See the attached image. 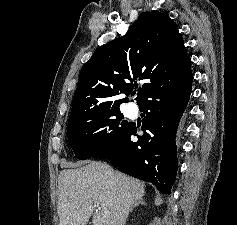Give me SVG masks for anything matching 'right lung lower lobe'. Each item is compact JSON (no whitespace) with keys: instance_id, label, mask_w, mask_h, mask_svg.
<instances>
[{"instance_id":"obj_1","label":"right lung lower lobe","mask_w":237,"mask_h":225,"mask_svg":"<svg viewBox=\"0 0 237 225\" xmlns=\"http://www.w3.org/2000/svg\"><path fill=\"white\" fill-rule=\"evenodd\" d=\"M191 89L192 81L157 88L139 105L145 113L141 127L144 134L138 136L136 125L130 123L111 147L93 157L106 158L123 173L170 194L178 170L176 132ZM134 136L137 142L132 141Z\"/></svg>"}]
</instances>
